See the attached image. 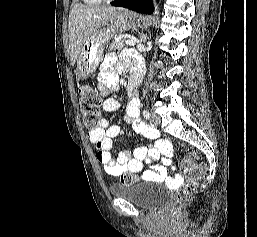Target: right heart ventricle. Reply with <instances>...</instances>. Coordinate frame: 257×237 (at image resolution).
Returning a JSON list of instances; mask_svg holds the SVG:
<instances>
[{"label": "right heart ventricle", "mask_w": 257, "mask_h": 237, "mask_svg": "<svg viewBox=\"0 0 257 237\" xmlns=\"http://www.w3.org/2000/svg\"><path fill=\"white\" fill-rule=\"evenodd\" d=\"M102 0H83V2L87 5H98Z\"/></svg>", "instance_id": "1"}]
</instances>
